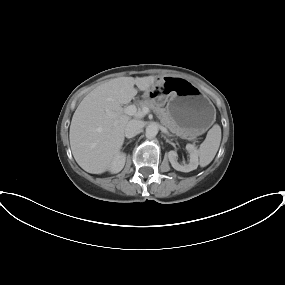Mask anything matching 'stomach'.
Listing matches in <instances>:
<instances>
[{"label":"stomach","mask_w":285,"mask_h":285,"mask_svg":"<svg viewBox=\"0 0 285 285\" xmlns=\"http://www.w3.org/2000/svg\"><path fill=\"white\" fill-rule=\"evenodd\" d=\"M143 97L157 104L167 103L166 112L189 137L205 133L216 118V110L208 96L181 77H161Z\"/></svg>","instance_id":"1"}]
</instances>
